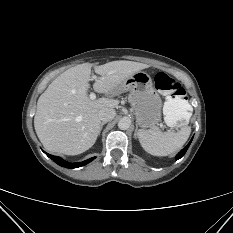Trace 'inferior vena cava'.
<instances>
[{"label": "inferior vena cava", "mask_w": 233, "mask_h": 233, "mask_svg": "<svg viewBox=\"0 0 233 233\" xmlns=\"http://www.w3.org/2000/svg\"><path fill=\"white\" fill-rule=\"evenodd\" d=\"M115 115H116V112L114 109H102L98 113L99 120L102 122H109L113 120Z\"/></svg>", "instance_id": "602c4592"}]
</instances>
